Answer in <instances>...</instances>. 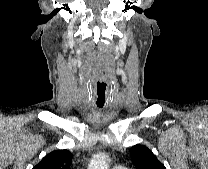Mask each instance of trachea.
<instances>
[{
    "label": "trachea",
    "mask_w": 208,
    "mask_h": 169,
    "mask_svg": "<svg viewBox=\"0 0 208 169\" xmlns=\"http://www.w3.org/2000/svg\"><path fill=\"white\" fill-rule=\"evenodd\" d=\"M98 107H99V108H102L103 106H100V105H99Z\"/></svg>",
    "instance_id": "1"
}]
</instances>
